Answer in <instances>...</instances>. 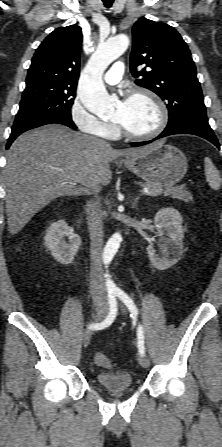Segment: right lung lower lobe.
<instances>
[{
    "label": "right lung lower lobe",
    "instance_id": "right-lung-lower-lobe-1",
    "mask_svg": "<svg viewBox=\"0 0 222 447\" xmlns=\"http://www.w3.org/2000/svg\"><path fill=\"white\" fill-rule=\"evenodd\" d=\"M62 124V125H66L70 128L76 129L77 127L75 126V124L73 123L71 118H63V117H58V118H53L50 120H46L44 122H41L40 124L25 128V129H21V130H17V131H12L9 139H8V143H7V149L10 147L11 143L16 139V137H18L20 134H22L23 132L36 128V127H40L46 124Z\"/></svg>",
    "mask_w": 222,
    "mask_h": 447
}]
</instances>
